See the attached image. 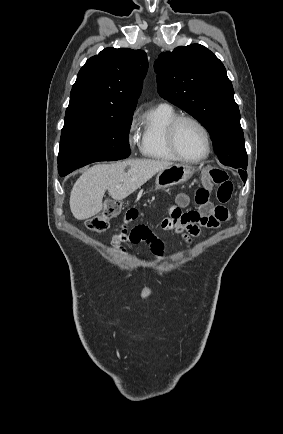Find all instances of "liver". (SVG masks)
Instances as JSON below:
<instances>
[{
  "label": "liver",
  "mask_w": 283,
  "mask_h": 434,
  "mask_svg": "<svg viewBox=\"0 0 283 434\" xmlns=\"http://www.w3.org/2000/svg\"><path fill=\"white\" fill-rule=\"evenodd\" d=\"M172 162L150 159H129L112 164H97L78 178L70 194V209L78 220H85L103 209V196L123 200Z\"/></svg>",
  "instance_id": "liver-1"
}]
</instances>
